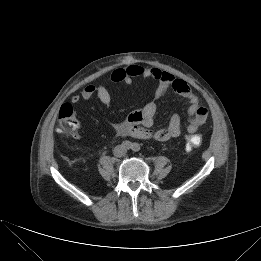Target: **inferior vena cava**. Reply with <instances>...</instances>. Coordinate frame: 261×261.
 Listing matches in <instances>:
<instances>
[{
  "instance_id": "1",
  "label": "inferior vena cava",
  "mask_w": 261,
  "mask_h": 261,
  "mask_svg": "<svg viewBox=\"0 0 261 261\" xmlns=\"http://www.w3.org/2000/svg\"><path fill=\"white\" fill-rule=\"evenodd\" d=\"M126 154V149L125 148H123L122 146H117V147H115V149H114V155L116 156V157H122V156H124Z\"/></svg>"
}]
</instances>
